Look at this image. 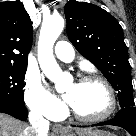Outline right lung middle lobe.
Wrapping results in <instances>:
<instances>
[{
  "label": "right lung middle lobe",
  "mask_w": 136,
  "mask_h": 136,
  "mask_svg": "<svg viewBox=\"0 0 136 136\" xmlns=\"http://www.w3.org/2000/svg\"><path fill=\"white\" fill-rule=\"evenodd\" d=\"M27 65H0V105L24 106L23 80Z\"/></svg>",
  "instance_id": "right-lung-middle-lobe-1"
}]
</instances>
